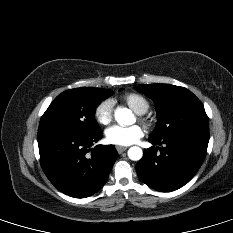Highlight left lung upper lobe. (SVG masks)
<instances>
[{
  "mask_svg": "<svg viewBox=\"0 0 233 233\" xmlns=\"http://www.w3.org/2000/svg\"><path fill=\"white\" fill-rule=\"evenodd\" d=\"M137 91L150 97L157 111V125L149 138L160 140L190 131L209 132L201 101L188 89L170 84L140 85Z\"/></svg>",
  "mask_w": 233,
  "mask_h": 233,
  "instance_id": "obj_1",
  "label": "left lung upper lobe"
}]
</instances>
